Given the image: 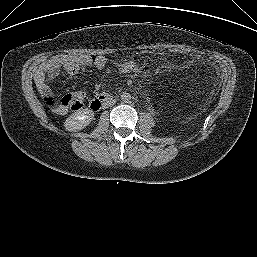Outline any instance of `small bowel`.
<instances>
[{"mask_svg": "<svg viewBox=\"0 0 257 257\" xmlns=\"http://www.w3.org/2000/svg\"><path fill=\"white\" fill-rule=\"evenodd\" d=\"M94 65L98 69H104L107 65L106 57L102 55L91 56L89 54L61 55L55 56L39 65L34 74L36 86L41 95L47 101L52 98V91L48 82L56 78L62 70L69 75H75L80 68ZM58 115H65L67 108L61 105L51 107Z\"/></svg>", "mask_w": 257, "mask_h": 257, "instance_id": "obj_1", "label": "small bowel"}]
</instances>
